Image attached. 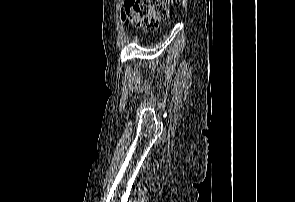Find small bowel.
<instances>
[{
  "label": "small bowel",
  "mask_w": 295,
  "mask_h": 202,
  "mask_svg": "<svg viewBox=\"0 0 295 202\" xmlns=\"http://www.w3.org/2000/svg\"><path fill=\"white\" fill-rule=\"evenodd\" d=\"M124 5L126 6V2H125V0H124Z\"/></svg>",
  "instance_id": "c3829d8e"
}]
</instances>
